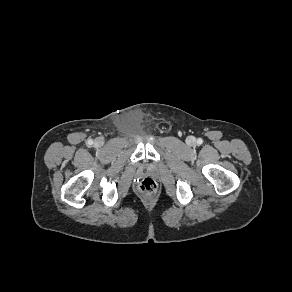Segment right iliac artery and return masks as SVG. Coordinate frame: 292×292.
<instances>
[{
  "mask_svg": "<svg viewBox=\"0 0 292 292\" xmlns=\"http://www.w3.org/2000/svg\"><path fill=\"white\" fill-rule=\"evenodd\" d=\"M88 143H89V144H92V143H93V141H92V140H89V141H88Z\"/></svg>",
  "mask_w": 292,
  "mask_h": 292,
  "instance_id": "82829eb1",
  "label": "right iliac artery"
}]
</instances>
